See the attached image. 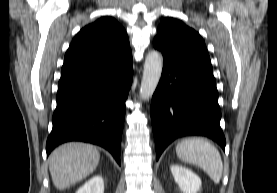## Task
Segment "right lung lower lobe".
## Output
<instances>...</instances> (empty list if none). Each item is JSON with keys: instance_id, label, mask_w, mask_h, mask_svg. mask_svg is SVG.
<instances>
[{"instance_id": "1", "label": "right lung lower lobe", "mask_w": 277, "mask_h": 193, "mask_svg": "<svg viewBox=\"0 0 277 193\" xmlns=\"http://www.w3.org/2000/svg\"><path fill=\"white\" fill-rule=\"evenodd\" d=\"M132 54L98 71L59 80L47 155L59 144L83 141L107 149L120 164Z\"/></svg>"}]
</instances>
